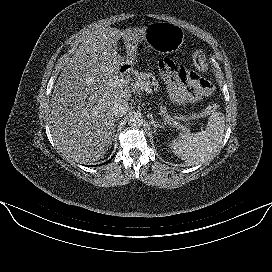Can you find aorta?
Here are the masks:
<instances>
[{
	"instance_id": "aorta-1",
	"label": "aorta",
	"mask_w": 272,
	"mask_h": 272,
	"mask_svg": "<svg viewBox=\"0 0 272 272\" xmlns=\"http://www.w3.org/2000/svg\"><path fill=\"white\" fill-rule=\"evenodd\" d=\"M128 124L133 128H139L143 124V117L141 116V114L134 113L130 116Z\"/></svg>"
}]
</instances>
